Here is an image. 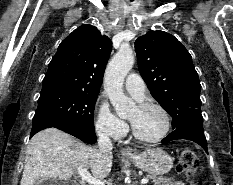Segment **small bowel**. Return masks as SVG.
I'll return each instance as SVG.
<instances>
[{
    "instance_id": "obj_1",
    "label": "small bowel",
    "mask_w": 233,
    "mask_h": 185,
    "mask_svg": "<svg viewBox=\"0 0 233 185\" xmlns=\"http://www.w3.org/2000/svg\"><path fill=\"white\" fill-rule=\"evenodd\" d=\"M172 185H186L183 181H176Z\"/></svg>"
}]
</instances>
